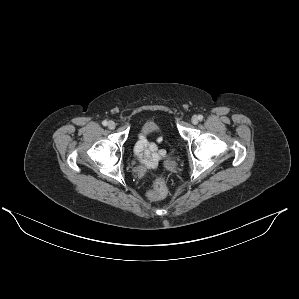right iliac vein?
<instances>
[{
  "mask_svg": "<svg viewBox=\"0 0 299 299\" xmlns=\"http://www.w3.org/2000/svg\"><path fill=\"white\" fill-rule=\"evenodd\" d=\"M107 126H108L109 129H114L115 126H116V124H115L114 121H109L108 124H107Z\"/></svg>",
  "mask_w": 299,
  "mask_h": 299,
  "instance_id": "63e3f726",
  "label": "right iliac vein"
}]
</instances>
